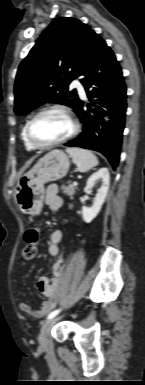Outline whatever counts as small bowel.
Masks as SVG:
<instances>
[{
	"mask_svg": "<svg viewBox=\"0 0 145 385\" xmlns=\"http://www.w3.org/2000/svg\"><path fill=\"white\" fill-rule=\"evenodd\" d=\"M44 202L51 210H58L63 205V200L57 194V186L51 184L48 186ZM63 239V232L60 229H55L50 236L49 252L52 256H58L61 252V242ZM62 262L64 268V261L62 258L58 259L56 263ZM54 264V265H55ZM54 268V266H53ZM62 274H57L53 271V277L41 276L37 281V288L39 292L46 297L40 309H36L25 302L19 303V308L24 313L28 314L34 319H40L46 316L56 306L58 297L62 290Z\"/></svg>",
	"mask_w": 145,
	"mask_h": 385,
	"instance_id": "c3829d8e",
	"label": "small bowel"
}]
</instances>
